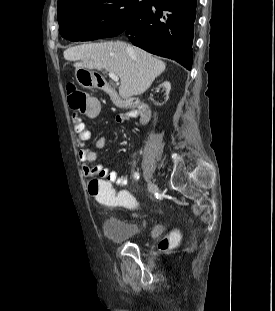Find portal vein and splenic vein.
Returning a JSON list of instances; mask_svg holds the SVG:
<instances>
[{
  "label": "portal vein and splenic vein",
  "instance_id": "obj_1",
  "mask_svg": "<svg viewBox=\"0 0 275 311\" xmlns=\"http://www.w3.org/2000/svg\"><path fill=\"white\" fill-rule=\"evenodd\" d=\"M109 77L114 81V82H118L119 81V78L118 76L113 73V72H109Z\"/></svg>",
  "mask_w": 275,
  "mask_h": 311
}]
</instances>
